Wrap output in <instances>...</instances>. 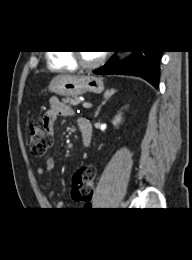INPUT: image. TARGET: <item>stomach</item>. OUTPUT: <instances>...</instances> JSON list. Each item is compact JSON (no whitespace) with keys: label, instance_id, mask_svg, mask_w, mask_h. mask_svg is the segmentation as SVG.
<instances>
[{"label":"stomach","instance_id":"0dacf381","mask_svg":"<svg viewBox=\"0 0 192 260\" xmlns=\"http://www.w3.org/2000/svg\"><path fill=\"white\" fill-rule=\"evenodd\" d=\"M49 90L59 96L77 98L87 92L101 93L104 84L102 79L93 75H59L51 80Z\"/></svg>","mask_w":192,"mask_h":260}]
</instances>
